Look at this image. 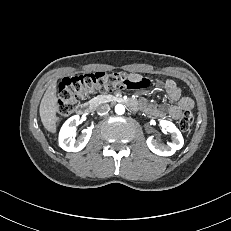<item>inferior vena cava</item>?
I'll return each instance as SVG.
<instances>
[{
    "instance_id": "inferior-vena-cava-1",
    "label": "inferior vena cava",
    "mask_w": 231,
    "mask_h": 231,
    "mask_svg": "<svg viewBox=\"0 0 231 231\" xmlns=\"http://www.w3.org/2000/svg\"><path fill=\"white\" fill-rule=\"evenodd\" d=\"M110 110V106L108 104H102L100 106H98L97 108V112L101 115H105L109 112Z\"/></svg>"
}]
</instances>
